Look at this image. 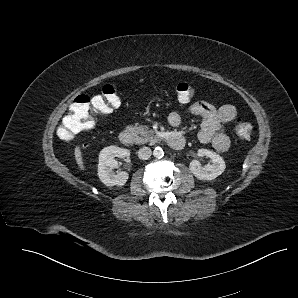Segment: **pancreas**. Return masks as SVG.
Wrapping results in <instances>:
<instances>
[{
  "label": "pancreas",
  "instance_id": "pancreas-1",
  "mask_svg": "<svg viewBox=\"0 0 298 298\" xmlns=\"http://www.w3.org/2000/svg\"><path fill=\"white\" fill-rule=\"evenodd\" d=\"M128 128L138 137L136 139V143L138 144L150 143L154 145L159 140V138L155 136V132L150 130L146 125L128 126Z\"/></svg>",
  "mask_w": 298,
  "mask_h": 298
}]
</instances>
